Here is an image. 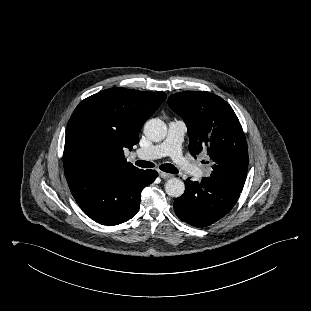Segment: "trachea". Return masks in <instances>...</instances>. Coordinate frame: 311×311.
Returning a JSON list of instances; mask_svg holds the SVG:
<instances>
[{
	"instance_id": "obj_1",
	"label": "trachea",
	"mask_w": 311,
	"mask_h": 311,
	"mask_svg": "<svg viewBox=\"0 0 311 311\" xmlns=\"http://www.w3.org/2000/svg\"><path fill=\"white\" fill-rule=\"evenodd\" d=\"M135 164L142 168H153L154 167V164L152 162L144 161V160H138L135 162ZM160 169L164 172L171 173V174L178 173V169L174 165L168 164V163L160 165Z\"/></svg>"
}]
</instances>
